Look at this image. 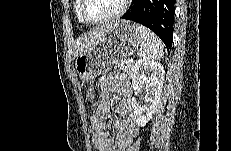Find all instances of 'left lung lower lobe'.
Segmentation results:
<instances>
[{
  "instance_id": "obj_1",
  "label": "left lung lower lobe",
  "mask_w": 231,
  "mask_h": 151,
  "mask_svg": "<svg viewBox=\"0 0 231 151\" xmlns=\"http://www.w3.org/2000/svg\"><path fill=\"white\" fill-rule=\"evenodd\" d=\"M175 0H132L121 18L140 23L159 36L168 51L173 42Z\"/></svg>"
}]
</instances>
